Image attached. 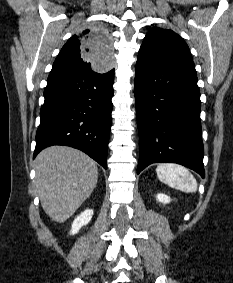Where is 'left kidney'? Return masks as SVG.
I'll list each match as a JSON object with an SVG mask.
<instances>
[{"instance_id":"obj_1","label":"left kidney","mask_w":233,"mask_h":283,"mask_svg":"<svg viewBox=\"0 0 233 283\" xmlns=\"http://www.w3.org/2000/svg\"><path fill=\"white\" fill-rule=\"evenodd\" d=\"M156 199H157L158 202H161L163 204H167L171 201L169 196H167L165 194H161V193L156 196Z\"/></svg>"}]
</instances>
